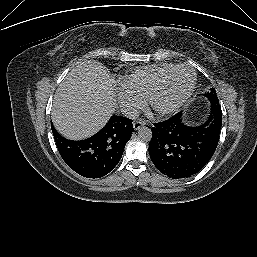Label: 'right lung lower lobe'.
Listing matches in <instances>:
<instances>
[{"label": "right lung lower lobe", "mask_w": 257, "mask_h": 257, "mask_svg": "<svg viewBox=\"0 0 257 257\" xmlns=\"http://www.w3.org/2000/svg\"><path fill=\"white\" fill-rule=\"evenodd\" d=\"M51 128L63 160L86 178H99L108 174L118 164L134 131L132 120L119 116H112L98 133L80 141L68 140L53 125Z\"/></svg>", "instance_id": "right-lung-lower-lobe-1"}]
</instances>
